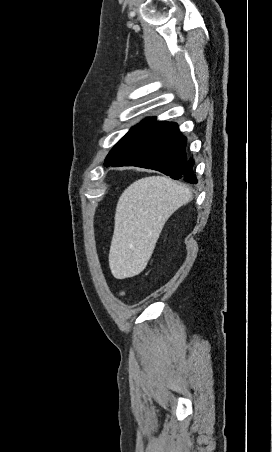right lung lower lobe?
Listing matches in <instances>:
<instances>
[{
  "mask_svg": "<svg viewBox=\"0 0 272 452\" xmlns=\"http://www.w3.org/2000/svg\"><path fill=\"white\" fill-rule=\"evenodd\" d=\"M187 139L174 122H155L112 167L137 166L196 184L194 161L186 155Z\"/></svg>",
  "mask_w": 272,
  "mask_h": 452,
  "instance_id": "right-lung-lower-lobe-1",
  "label": "right lung lower lobe"
}]
</instances>
